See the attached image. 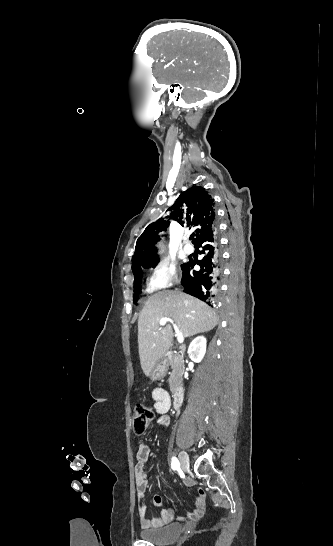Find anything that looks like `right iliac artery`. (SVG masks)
<instances>
[{
	"mask_svg": "<svg viewBox=\"0 0 333 546\" xmlns=\"http://www.w3.org/2000/svg\"><path fill=\"white\" fill-rule=\"evenodd\" d=\"M171 467L173 470H177L180 468V462L176 457L172 458Z\"/></svg>",
	"mask_w": 333,
	"mask_h": 546,
	"instance_id": "obj_1",
	"label": "right iliac artery"
}]
</instances>
